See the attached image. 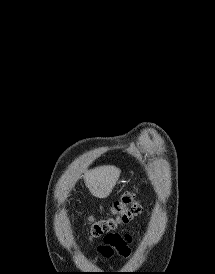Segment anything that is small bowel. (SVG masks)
<instances>
[{
  "instance_id": "1",
  "label": "small bowel",
  "mask_w": 215,
  "mask_h": 274,
  "mask_svg": "<svg viewBox=\"0 0 215 274\" xmlns=\"http://www.w3.org/2000/svg\"><path fill=\"white\" fill-rule=\"evenodd\" d=\"M130 242L129 235L121 236L117 233H110L105 236L103 243L98 246V252L105 258H110L114 254L126 258L130 255Z\"/></svg>"
}]
</instances>
